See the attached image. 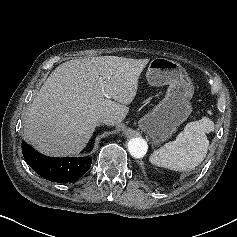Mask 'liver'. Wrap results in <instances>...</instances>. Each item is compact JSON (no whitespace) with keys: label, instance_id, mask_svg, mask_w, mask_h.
I'll return each mask as SVG.
<instances>
[{"label":"liver","instance_id":"1","mask_svg":"<svg viewBox=\"0 0 237 237\" xmlns=\"http://www.w3.org/2000/svg\"><path fill=\"white\" fill-rule=\"evenodd\" d=\"M148 62L149 59L100 56L59 65L27 111L24 138L46 155L80 153L97 126V116L111 117V126L126 117L127 105L137 93L139 77ZM101 76L106 81L103 90L98 83Z\"/></svg>","mask_w":237,"mask_h":237}]
</instances>
